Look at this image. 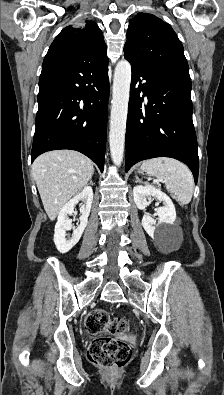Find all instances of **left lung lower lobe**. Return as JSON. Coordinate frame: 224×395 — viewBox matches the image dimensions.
<instances>
[{
	"label": "left lung lower lobe",
	"instance_id": "left-lung-lower-lobe-1",
	"mask_svg": "<svg viewBox=\"0 0 224 395\" xmlns=\"http://www.w3.org/2000/svg\"><path fill=\"white\" fill-rule=\"evenodd\" d=\"M126 59L132 67L125 137L126 172L141 160L171 157L184 162L197 182L199 160L192 121L191 80ZM144 96L148 99L146 105Z\"/></svg>",
	"mask_w": 224,
	"mask_h": 395
}]
</instances>
